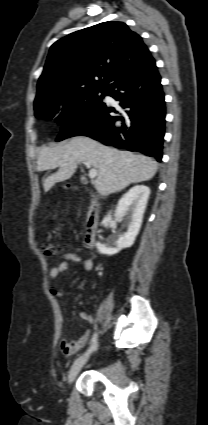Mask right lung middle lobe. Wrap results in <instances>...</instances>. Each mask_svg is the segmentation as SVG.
<instances>
[{
  "label": "right lung middle lobe",
  "mask_w": 208,
  "mask_h": 425,
  "mask_svg": "<svg viewBox=\"0 0 208 425\" xmlns=\"http://www.w3.org/2000/svg\"><path fill=\"white\" fill-rule=\"evenodd\" d=\"M105 94L106 88H88L58 96H48L35 102V116L54 118L56 122L63 124L81 113L98 107Z\"/></svg>",
  "instance_id": "right-lung-middle-lobe-1"
}]
</instances>
